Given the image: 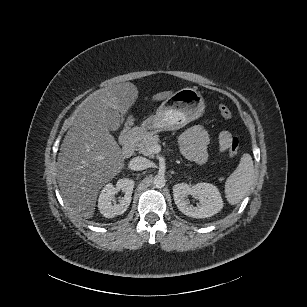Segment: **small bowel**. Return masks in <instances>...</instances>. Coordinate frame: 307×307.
<instances>
[{"label": "small bowel", "mask_w": 307, "mask_h": 307, "mask_svg": "<svg viewBox=\"0 0 307 307\" xmlns=\"http://www.w3.org/2000/svg\"><path fill=\"white\" fill-rule=\"evenodd\" d=\"M235 138L227 131H221L218 135V152L224 153L230 147L231 140ZM212 138L209 132L200 125H195L187 129L179 138L181 152L185 158L203 165L208 160V145Z\"/></svg>", "instance_id": "small-bowel-1"}]
</instances>
